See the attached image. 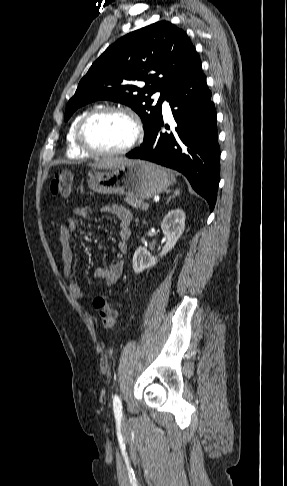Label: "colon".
<instances>
[{
    "label": "colon",
    "instance_id": "1",
    "mask_svg": "<svg viewBox=\"0 0 287 486\" xmlns=\"http://www.w3.org/2000/svg\"><path fill=\"white\" fill-rule=\"evenodd\" d=\"M73 189V176L68 171H59L49 184V191L53 195L69 196ZM94 308L105 329L114 327L117 320V310L113 304L102 296H97L93 301Z\"/></svg>",
    "mask_w": 287,
    "mask_h": 486
}]
</instances>
